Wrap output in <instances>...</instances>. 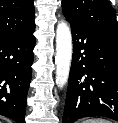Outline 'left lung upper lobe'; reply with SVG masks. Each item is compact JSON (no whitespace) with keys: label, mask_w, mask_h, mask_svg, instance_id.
Masks as SVG:
<instances>
[{"label":"left lung upper lobe","mask_w":118,"mask_h":123,"mask_svg":"<svg viewBox=\"0 0 118 123\" xmlns=\"http://www.w3.org/2000/svg\"><path fill=\"white\" fill-rule=\"evenodd\" d=\"M62 11L70 24L118 36L115 10L107 0H63Z\"/></svg>","instance_id":"5c2ea615"}]
</instances>
